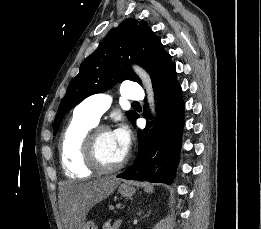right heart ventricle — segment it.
<instances>
[{
    "instance_id": "e07e8e85",
    "label": "right heart ventricle",
    "mask_w": 261,
    "mask_h": 229,
    "mask_svg": "<svg viewBox=\"0 0 261 229\" xmlns=\"http://www.w3.org/2000/svg\"><path fill=\"white\" fill-rule=\"evenodd\" d=\"M95 126L79 105L75 107L58 144L61 165L68 174L90 175L93 172L85 158V144Z\"/></svg>"
}]
</instances>
